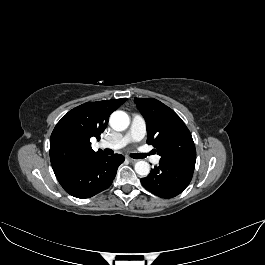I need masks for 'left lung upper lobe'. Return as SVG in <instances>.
I'll list each match as a JSON object with an SVG mask.
<instances>
[{
    "mask_svg": "<svg viewBox=\"0 0 265 265\" xmlns=\"http://www.w3.org/2000/svg\"><path fill=\"white\" fill-rule=\"evenodd\" d=\"M134 101L146 121L147 143L157 149L161 162L196 160L191 133L171 108L153 98Z\"/></svg>",
    "mask_w": 265,
    "mask_h": 265,
    "instance_id": "5c2ea615",
    "label": "left lung upper lobe"
}]
</instances>
